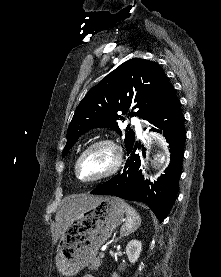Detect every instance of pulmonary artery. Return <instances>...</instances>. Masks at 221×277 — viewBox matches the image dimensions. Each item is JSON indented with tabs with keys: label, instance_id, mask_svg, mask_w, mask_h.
Wrapping results in <instances>:
<instances>
[{
	"label": "pulmonary artery",
	"instance_id": "obj_1",
	"mask_svg": "<svg viewBox=\"0 0 221 277\" xmlns=\"http://www.w3.org/2000/svg\"><path fill=\"white\" fill-rule=\"evenodd\" d=\"M133 122H134V124L136 125L137 131L140 133V132H141V127H140L139 123L137 122L136 119H133Z\"/></svg>",
	"mask_w": 221,
	"mask_h": 277
}]
</instances>
